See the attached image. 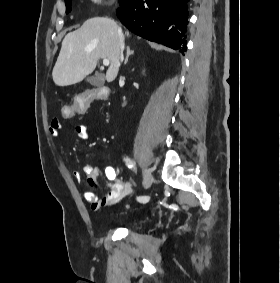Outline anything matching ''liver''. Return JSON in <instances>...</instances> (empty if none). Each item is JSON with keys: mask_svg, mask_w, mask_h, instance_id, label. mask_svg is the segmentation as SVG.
Returning a JSON list of instances; mask_svg holds the SVG:
<instances>
[{"mask_svg": "<svg viewBox=\"0 0 280 283\" xmlns=\"http://www.w3.org/2000/svg\"><path fill=\"white\" fill-rule=\"evenodd\" d=\"M120 34L124 38L117 23L107 17L90 18L79 29L68 33L52 71L54 83L68 86L82 81L94 71L100 58L110 61L106 80H115L120 67ZM125 35L129 36V32Z\"/></svg>", "mask_w": 280, "mask_h": 283, "instance_id": "obj_1", "label": "liver"}]
</instances>
